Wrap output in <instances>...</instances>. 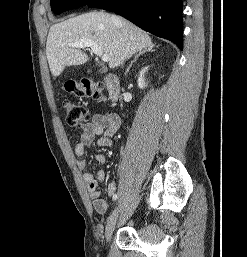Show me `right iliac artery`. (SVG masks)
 Wrapping results in <instances>:
<instances>
[{"mask_svg": "<svg viewBox=\"0 0 247 257\" xmlns=\"http://www.w3.org/2000/svg\"><path fill=\"white\" fill-rule=\"evenodd\" d=\"M117 198H118V195L115 194V195L113 196V200L115 201Z\"/></svg>", "mask_w": 247, "mask_h": 257, "instance_id": "1", "label": "right iliac artery"}]
</instances>
